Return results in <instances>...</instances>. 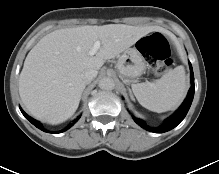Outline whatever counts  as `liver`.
<instances>
[{
    "label": "liver",
    "mask_w": 219,
    "mask_h": 174,
    "mask_svg": "<svg viewBox=\"0 0 219 174\" xmlns=\"http://www.w3.org/2000/svg\"><path fill=\"white\" fill-rule=\"evenodd\" d=\"M152 26L108 24L55 30L28 53L19 77V95L35 118L50 124L69 119L77 110L86 83L83 72L98 71L148 33ZM96 41L95 56L89 51Z\"/></svg>",
    "instance_id": "1"
}]
</instances>
